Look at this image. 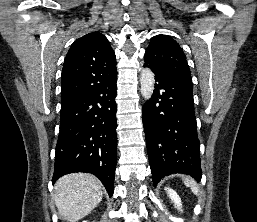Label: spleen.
<instances>
[{
  "label": "spleen",
  "mask_w": 257,
  "mask_h": 222,
  "mask_svg": "<svg viewBox=\"0 0 257 222\" xmlns=\"http://www.w3.org/2000/svg\"><path fill=\"white\" fill-rule=\"evenodd\" d=\"M184 184H185L187 187H190L191 190H192V192H193L195 195H198L199 190H198L197 184L195 183L194 180L189 179V178H185V179H184Z\"/></svg>",
  "instance_id": "spleen-1"
}]
</instances>
